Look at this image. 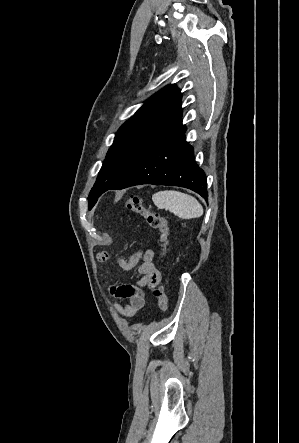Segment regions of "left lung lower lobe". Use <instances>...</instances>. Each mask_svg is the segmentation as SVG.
<instances>
[{"label": "left lung lower lobe", "instance_id": "0a47b994", "mask_svg": "<svg viewBox=\"0 0 299 443\" xmlns=\"http://www.w3.org/2000/svg\"><path fill=\"white\" fill-rule=\"evenodd\" d=\"M185 132L186 127L179 125L107 190L139 184L174 185L191 189L207 200L206 176L194 161Z\"/></svg>", "mask_w": 299, "mask_h": 443}]
</instances>
